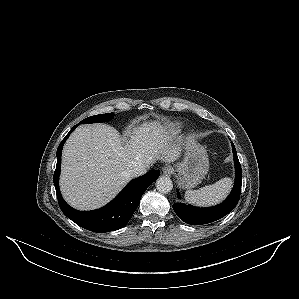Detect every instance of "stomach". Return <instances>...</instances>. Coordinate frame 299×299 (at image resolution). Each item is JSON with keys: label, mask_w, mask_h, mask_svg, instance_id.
<instances>
[{"label": "stomach", "mask_w": 299, "mask_h": 299, "mask_svg": "<svg viewBox=\"0 0 299 299\" xmlns=\"http://www.w3.org/2000/svg\"><path fill=\"white\" fill-rule=\"evenodd\" d=\"M209 171V159L205 148L190 138L185 144L183 161L175 166V172L183 188H193L205 178Z\"/></svg>", "instance_id": "obj_1"}]
</instances>
